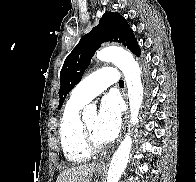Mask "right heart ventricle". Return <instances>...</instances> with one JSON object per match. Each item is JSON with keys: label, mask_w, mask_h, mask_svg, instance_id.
<instances>
[{"label": "right heart ventricle", "mask_w": 196, "mask_h": 182, "mask_svg": "<svg viewBox=\"0 0 196 182\" xmlns=\"http://www.w3.org/2000/svg\"><path fill=\"white\" fill-rule=\"evenodd\" d=\"M84 104L71 97L59 122L58 134L62 151L66 159L74 164L87 161L91 155L83 145L80 134V111Z\"/></svg>", "instance_id": "right-heart-ventricle-1"}]
</instances>
